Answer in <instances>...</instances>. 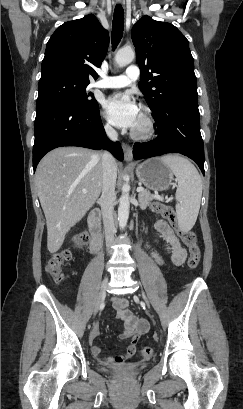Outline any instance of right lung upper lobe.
I'll list each match as a JSON object with an SVG mask.
<instances>
[{"label": "right lung upper lobe", "instance_id": "1", "mask_svg": "<svg viewBox=\"0 0 243 409\" xmlns=\"http://www.w3.org/2000/svg\"><path fill=\"white\" fill-rule=\"evenodd\" d=\"M109 34L89 14L62 24L49 39L42 61L41 79L63 76L89 84L107 54Z\"/></svg>", "mask_w": 243, "mask_h": 409}]
</instances>
